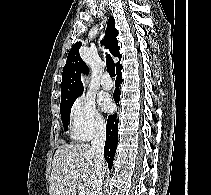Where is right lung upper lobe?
I'll return each instance as SVG.
<instances>
[{"label":"right lung upper lobe","instance_id":"right-lung-upper-lobe-1","mask_svg":"<svg viewBox=\"0 0 211 195\" xmlns=\"http://www.w3.org/2000/svg\"><path fill=\"white\" fill-rule=\"evenodd\" d=\"M115 20L110 17L106 28V36L104 39L106 47L109 48L111 54L119 58L116 64V69L122 68L120 64L121 54L119 53V46L116 36L118 31L115 29ZM81 42H77L70 50L67 56V62L63 68L62 82H61V103L76 99L83 92V85L81 82L82 70H87V66L81 59L79 48Z\"/></svg>","mask_w":211,"mask_h":195}]
</instances>
